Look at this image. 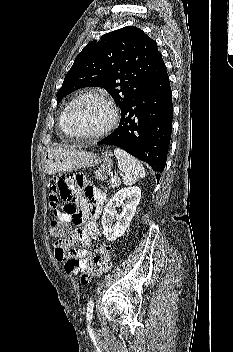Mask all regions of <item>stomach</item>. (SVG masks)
Masks as SVG:
<instances>
[{"label":"stomach","instance_id":"stomach-1","mask_svg":"<svg viewBox=\"0 0 233 352\" xmlns=\"http://www.w3.org/2000/svg\"><path fill=\"white\" fill-rule=\"evenodd\" d=\"M102 161L92 152L50 148L44 155V168L48 174L64 173L76 168L94 167Z\"/></svg>","mask_w":233,"mask_h":352}]
</instances>
